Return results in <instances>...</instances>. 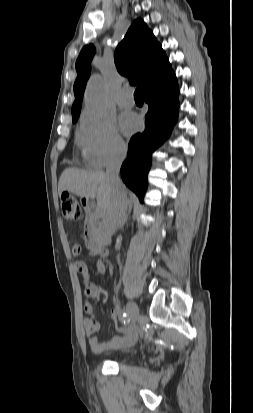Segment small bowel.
I'll use <instances>...</instances> for the list:
<instances>
[{
  "label": "small bowel",
  "mask_w": 253,
  "mask_h": 413,
  "mask_svg": "<svg viewBox=\"0 0 253 413\" xmlns=\"http://www.w3.org/2000/svg\"><path fill=\"white\" fill-rule=\"evenodd\" d=\"M84 246L81 244H77L73 247V253L76 256H80L84 253ZM106 256L99 255V260L96 264L97 272L101 275H104L106 272V265H105V258ZM74 268L75 270L83 276V282L85 286V295L87 298L92 297V292H97L96 285L91 282L89 277V270L86 263L81 260L77 259L74 261ZM85 312L86 317L84 319V328L85 334L88 338V343L90 349L95 354H101L105 351L109 350H117L129 347L133 345L137 339L139 332L135 327H118L120 335L112 336L106 341L101 342L96 333L100 329V323L95 318L93 313L92 306L89 303L85 305ZM111 315L113 319L120 317L121 310L118 304H115L112 308Z\"/></svg>",
  "instance_id": "obj_1"
}]
</instances>
